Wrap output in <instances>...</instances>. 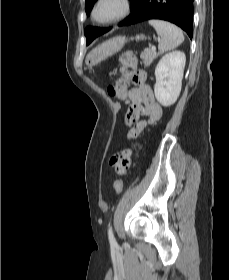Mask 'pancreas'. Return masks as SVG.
Returning a JSON list of instances; mask_svg holds the SVG:
<instances>
[{
  "label": "pancreas",
  "instance_id": "pancreas-1",
  "mask_svg": "<svg viewBox=\"0 0 229 280\" xmlns=\"http://www.w3.org/2000/svg\"><path fill=\"white\" fill-rule=\"evenodd\" d=\"M158 56V53L152 49H145L141 53V59L144 62V65L146 67L150 66V64L153 62V60Z\"/></svg>",
  "mask_w": 229,
  "mask_h": 280
}]
</instances>
